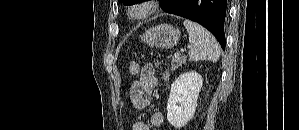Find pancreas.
Returning <instances> with one entry per match:
<instances>
[{
	"mask_svg": "<svg viewBox=\"0 0 299 130\" xmlns=\"http://www.w3.org/2000/svg\"><path fill=\"white\" fill-rule=\"evenodd\" d=\"M186 63V57H180V56H173L171 60L172 70L177 69L178 67H181L183 64Z\"/></svg>",
	"mask_w": 299,
	"mask_h": 130,
	"instance_id": "1",
	"label": "pancreas"
}]
</instances>
